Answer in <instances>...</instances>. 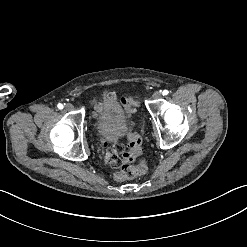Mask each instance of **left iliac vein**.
Returning <instances> with one entry per match:
<instances>
[{
	"instance_id": "4c4485c4",
	"label": "left iliac vein",
	"mask_w": 247,
	"mask_h": 247,
	"mask_svg": "<svg viewBox=\"0 0 247 247\" xmlns=\"http://www.w3.org/2000/svg\"><path fill=\"white\" fill-rule=\"evenodd\" d=\"M161 92L160 91H155L153 94H152V98L153 99H160L161 98Z\"/></svg>"
}]
</instances>
